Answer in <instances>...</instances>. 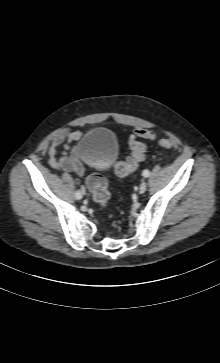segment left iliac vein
Masks as SVG:
<instances>
[{"mask_svg": "<svg viewBox=\"0 0 220 363\" xmlns=\"http://www.w3.org/2000/svg\"><path fill=\"white\" fill-rule=\"evenodd\" d=\"M146 188H147V184H146V182H142V183L140 184V187H139V193H140V194H143V193L146 191Z\"/></svg>", "mask_w": 220, "mask_h": 363, "instance_id": "obj_1", "label": "left iliac vein"}]
</instances>
